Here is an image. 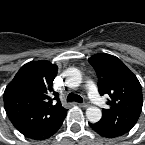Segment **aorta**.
Wrapping results in <instances>:
<instances>
[{"instance_id": "1", "label": "aorta", "mask_w": 145, "mask_h": 145, "mask_svg": "<svg viewBox=\"0 0 145 145\" xmlns=\"http://www.w3.org/2000/svg\"><path fill=\"white\" fill-rule=\"evenodd\" d=\"M64 76L68 87L76 88L80 86L82 82V74L77 68H68L65 71ZM86 117L91 123H96L101 119L102 112L98 107L90 106L86 110Z\"/></svg>"}]
</instances>
